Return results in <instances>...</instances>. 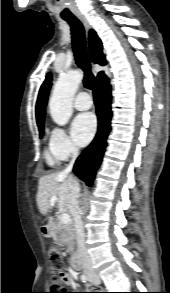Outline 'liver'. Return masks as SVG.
<instances>
[{
  "instance_id": "6515ba94",
  "label": "liver",
  "mask_w": 170,
  "mask_h": 293,
  "mask_svg": "<svg viewBox=\"0 0 170 293\" xmlns=\"http://www.w3.org/2000/svg\"><path fill=\"white\" fill-rule=\"evenodd\" d=\"M73 182H77V180L73 177L71 179L69 175L63 172L42 176L39 179L37 192V205L41 214L46 215L51 209L50 199L52 197L57 198L60 213L69 211L72 214L71 186ZM53 226V217L50 216L46 229L49 230Z\"/></svg>"
}]
</instances>
